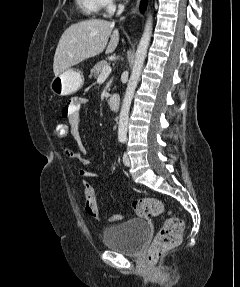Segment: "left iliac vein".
<instances>
[{"mask_svg":"<svg viewBox=\"0 0 240 287\" xmlns=\"http://www.w3.org/2000/svg\"><path fill=\"white\" fill-rule=\"evenodd\" d=\"M123 163L125 166L129 167L131 165L130 158L127 153L123 155Z\"/></svg>","mask_w":240,"mask_h":287,"instance_id":"4c4485c4","label":"left iliac vein"}]
</instances>
